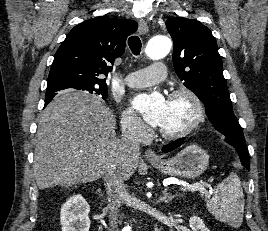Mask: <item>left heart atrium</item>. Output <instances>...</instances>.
I'll list each match as a JSON object with an SVG mask.
<instances>
[{"mask_svg": "<svg viewBox=\"0 0 268 231\" xmlns=\"http://www.w3.org/2000/svg\"><path fill=\"white\" fill-rule=\"evenodd\" d=\"M166 104L167 100L159 92L138 94L131 101L132 108L153 127L161 124Z\"/></svg>", "mask_w": 268, "mask_h": 231, "instance_id": "39dd6f15", "label": "left heart atrium"}]
</instances>
